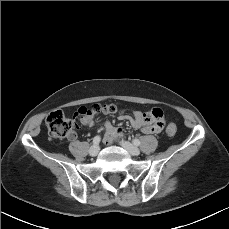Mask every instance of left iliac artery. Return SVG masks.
Here are the masks:
<instances>
[{
  "label": "left iliac artery",
  "instance_id": "left-iliac-artery-1",
  "mask_svg": "<svg viewBox=\"0 0 229 229\" xmlns=\"http://www.w3.org/2000/svg\"><path fill=\"white\" fill-rule=\"evenodd\" d=\"M133 144L136 145V146H139L141 144L140 140L139 139H134L133 141Z\"/></svg>",
  "mask_w": 229,
  "mask_h": 229
}]
</instances>
